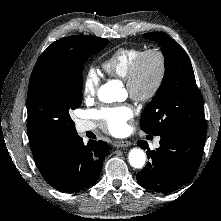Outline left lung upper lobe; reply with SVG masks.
Listing matches in <instances>:
<instances>
[{"label":"left lung upper lobe","instance_id":"left-lung-upper-lobe-1","mask_svg":"<svg viewBox=\"0 0 221 221\" xmlns=\"http://www.w3.org/2000/svg\"><path fill=\"white\" fill-rule=\"evenodd\" d=\"M145 37L160 44L165 75L157 94L144 109L141 129L156 136L173 129L205 132L203 98L187 54L163 32L145 33Z\"/></svg>","mask_w":221,"mask_h":221}]
</instances>
